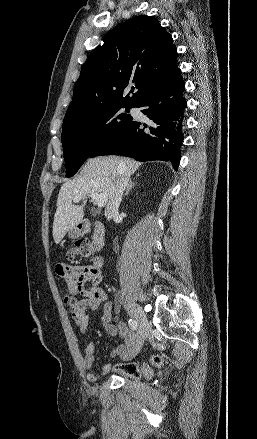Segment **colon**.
<instances>
[{
    "mask_svg": "<svg viewBox=\"0 0 257 439\" xmlns=\"http://www.w3.org/2000/svg\"><path fill=\"white\" fill-rule=\"evenodd\" d=\"M93 252V248L91 244L86 240H79L75 246V248L71 249L68 253L70 257L73 256H82V257H88ZM63 301L68 309V311L74 315L80 310L83 296L80 292H67L63 296ZM162 362L161 357L159 356H153L150 358V363L152 365H160ZM125 375L132 377L134 379H139L142 376H149L151 375V370L148 366H143L140 368L135 363H128L126 364L122 370Z\"/></svg>",
    "mask_w": 257,
    "mask_h": 439,
    "instance_id": "obj_1",
    "label": "colon"
}]
</instances>
